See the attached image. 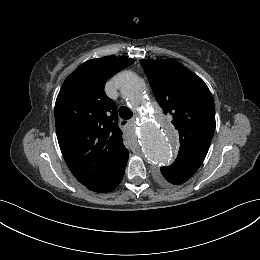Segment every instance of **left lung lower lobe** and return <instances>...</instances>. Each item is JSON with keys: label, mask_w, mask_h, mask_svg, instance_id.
<instances>
[{"label": "left lung lower lobe", "mask_w": 260, "mask_h": 260, "mask_svg": "<svg viewBox=\"0 0 260 260\" xmlns=\"http://www.w3.org/2000/svg\"><path fill=\"white\" fill-rule=\"evenodd\" d=\"M194 173L182 170H169L164 171L162 175H159V180L162 183H171L174 185H180L186 182L193 176Z\"/></svg>", "instance_id": "obj_1"}]
</instances>
